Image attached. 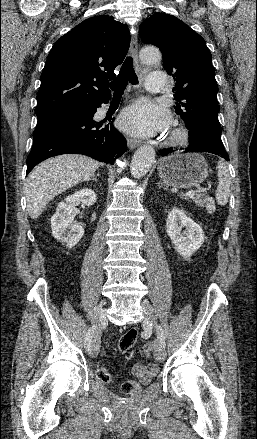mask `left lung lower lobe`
Instances as JSON below:
<instances>
[{"instance_id": "1", "label": "left lung lower lobe", "mask_w": 257, "mask_h": 439, "mask_svg": "<svg viewBox=\"0 0 257 439\" xmlns=\"http://www.w3.org/2000/svg\"><path fill=\"white\" fill-rule=\"evenodd\" d=\"M176 151L177 150L173 148L163 149L160 152V155L167 156ZM185 151L208 152L223 157L225 160L229 161V156L223 146V143L207 132H202L201 138L196 142L190 140L189 146L185 148Z\"/></svg>"}]
</instances>
